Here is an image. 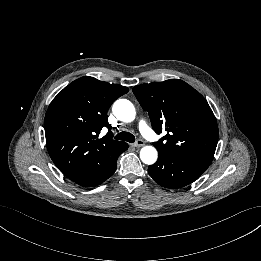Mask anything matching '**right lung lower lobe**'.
<instances>
[{
    "mask_svg": "<svg viewBox=\"0 0 261 261\" xmlns=\"http://www.w3.org/2000/svg\"><path fill=\"white\" fill-rule=\"evenodd\" d=\"M120 153L111 156L98 170L83 177L73 178L71 180L84 187H93L100 185L115 172L117 159Z\"/></svg>",
    "mask_w": 261,
    "mask_h": 261,
    "instance_id": "right-lung-lower-lobe-1",
    "label": "right lung lower lobe"
}]
</instances>
